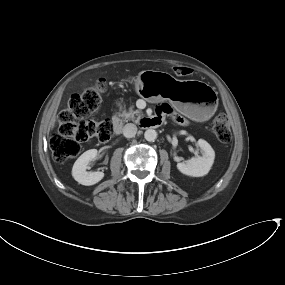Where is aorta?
<instances>
[{"mask_svg": "<svg viewBox=\"0 0 285 285\" xmlns=\"http://www.w3.org/2000/svg\"><path fill=\"white\" fill-rule=\"evenodd\" d=\"M144 138L149 142H153L157 138V132L154 129H147L144 133Z\"/></svg>", "mask_w": 285, "mask_h": 285, "instance_id": "aorta-1", "label": "aorta"}]
</instances>
